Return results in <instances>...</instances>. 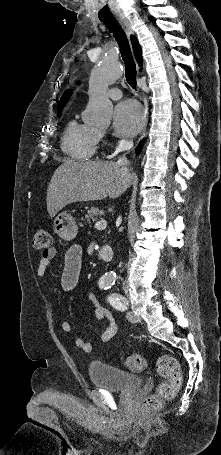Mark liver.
<instances>
[{
  "label": "liver",
  "instance_id": "6515ba94",
  "mask_svg": "<svg viewBox=\"0 0 221 455\" xmlns=\"http://www.w3.org/2000/svg\"><path fill=\"white\" fill-rule=\"evenodd\" d=\"M128 169L115 162L72 160L62 163L54 172L47 189V211L54 217L74 202L119 197L131 185Z\"/></svg>",
  "mask_w": 221,
  "mask_h": 455
}]
</instances>
